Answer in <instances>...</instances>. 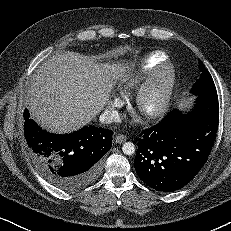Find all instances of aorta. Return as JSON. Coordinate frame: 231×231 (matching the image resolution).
Returning <instances> with one entry per match:
<instances>
[{"instance_id":"1","label":"aorta","mask_w":231,"mask_h":231,"mask_svg":"<svg viewBox=\"0 0 231 231\" xmlns=\"http://www.w3.org/2000/svg\"><path fill=\"white\" fill-rule=\"evenodd\" d=\"M122 151L126 155H132L135 152V145L132 142H126L122 146Z\"/></svg>"}]
</instances>
